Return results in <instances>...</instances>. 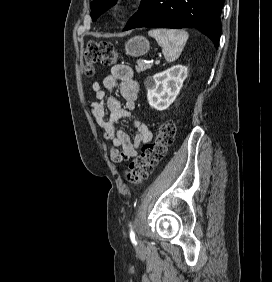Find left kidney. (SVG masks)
<instances>
[{"label":"left kidney","mask_w":272,"mask_h":282,"mask_svg":"<svg viewBox=\"0 0 272 282\" xmlns=\"http://www.w3.org/2000/svg\"><path fill=\"white\" fill-rule=\"evenodd\" d=\"M188 69L175 65L145 80L149 105L159 111L166 110L179 94Z\"/></svg>","instance_id":"obj_1"}]
</instances>
